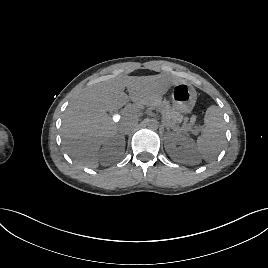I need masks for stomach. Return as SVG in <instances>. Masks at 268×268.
<instances>
[{
  "label": "stomach",
  "mask_w": 268,
  "mask_h": 268,
  "mask_svg": "<svg viewBox=\"0 0 268 268\" xmlns=\"http://www.w3.org/2000/svg\"><path fill=\"white\" fill-rule=\"evenodd\" d=\"M197 93L193 86L186 82L176 83L172 88V105L175 111L183 114L192 112Z\"/></svg>",
  "instance_id": "stomach-1"
}]
</instances>
